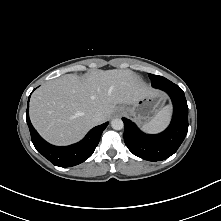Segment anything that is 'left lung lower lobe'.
Returning <instances> with one entry per match:
<instances>
[{"mask_svg": "<svg viewBox=\"0 0 221 221\" xmlns=\"http://www.w3.org/2000/svg\"><path fill=\"white\" fill-rule=\"evenodd\" d=\"M172 100L174 112L169 127L162 133L149 135L143 133L132 121L124 122V141L134 155L156 162L172 156L179 148L188 131V106L182 89L172 83L159 87Z\"/></svg>", "mask_w": 221, "mask_h": 221, "instance_id": "1", "label": "left lung lower lobe"}]
</instances>
